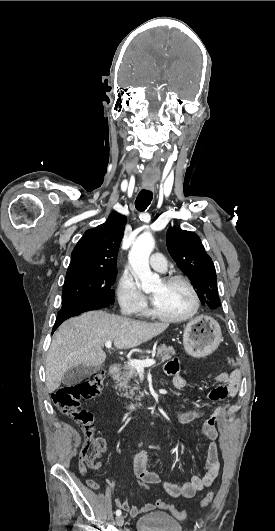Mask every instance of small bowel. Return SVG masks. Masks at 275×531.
Listing matches in <instances>:
<instances>
[{"mask_svg":"<svg viewBox=\"0 0 275 531\" xmlns=\"http://www.w3.org/2000/svg\"><path fill=\"white\" fill-rule=\"evenodd\" d=\"M181 361L178 358H173L166 364V372L173 375L172 388L176 392L183 391L188 382L184 376L180 373ZM241 380V372L239 370H233L231 372H220L214 376V381L220 385H224L228 389V396L233 398L236 396ZM225 406L221 405L205 420L202 425L203 435L210 440L207 451L206 460L204 466L203 476H193L190 481L185 483H172L169 481H161L160 476L151 469L150 459L145 451H140L134 462V474L138 480H146L147 483H154L155 485L162 483L165 491L174 498L184 497L192 498L196 492L204 490L209 487L216 479L220 469V457L219 447L216 443L218 438L217 422L223 415ZM175 418L180 423H188L193 420L199 419L204 416V411L201 409H189L186 411H175ZM102 444V442H99ZM154 449H158V446L154 445ZM97 470V469H94ZM97 488H91L92 490H98ZM115 505L123 510L127 511L131 517H137L144 513H149L154 510V504L147 502L141 507L130 506L129 502L122 498L115 499Z\"/></svg>","mask_w":275,"mask_h":531,"instance_id":"c3829d8e","label":"small bowel"}]
</instances>
